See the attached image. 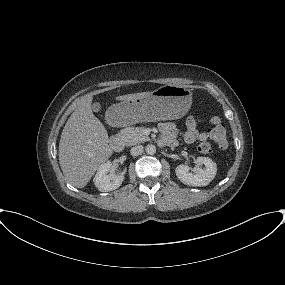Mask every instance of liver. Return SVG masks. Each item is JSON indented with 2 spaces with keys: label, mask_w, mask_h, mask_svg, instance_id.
<instances>
[{
  "label": "liver",
  "mask_w": 285,
  "mask_h": 285,
  "mask_svg": "<svg viewBox=\"0 0 285 285\" xmlns=\"http://www.w3.org/2000/svg\"><path fill=\"white\" fill-rule=\"evenodd\" d=\"M149 92L115 97L128 101ZM92 96L84 97L71 114L59 142V163L66 179L77 188H84L99 165L113 153L107 130L92 111Z\"/></svg>",
  "instance_id": "obj_1"
}]
</instances>
